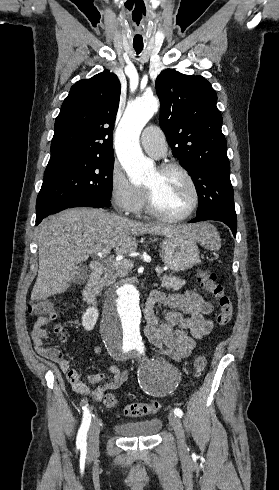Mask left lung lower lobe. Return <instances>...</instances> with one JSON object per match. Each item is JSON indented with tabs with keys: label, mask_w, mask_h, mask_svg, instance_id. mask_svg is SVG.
I'll return each mask as SVG.
<instances>
[{
	"label": "left lung lower lobe",
	"mask_w": 279,
	"mask_h": 490,
	"mask_svg": "<svg viewBox=\"0 0 279 490\" xmlns=\"http://www.w3.org/2000/svg\"><path fill=\"white\" fill-rule=\"evenodd\" d=\"M205 220H217V221H221V222L225 223L232 230L234 237H236V231H237V219H236V217L224 215L221 213L211 212V213H207V214H204L201 216H196V218H194L190 222H199V221H205Z\"/></svg>",
	"instance_id": "0a47b994"
}]
</instances>
